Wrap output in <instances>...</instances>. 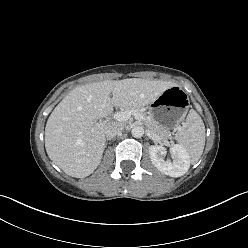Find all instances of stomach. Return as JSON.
Masks as SVG:
<instances>
[{"mask_svg":"<svg viewBox=\"0 0 248 248\" xmlns=\"http://www.w3.org/2000/svg\"><path fill=\"white\" fill-rule=\"evenodd\" d=\"M188 98L180 86H172L160 94L149 106V116L166 129H175L188 111Z\"/></svg>","mask_w":248,"mask_h":248,"instance_id":"stomach-1","label":"stomach"}]
</instances>
